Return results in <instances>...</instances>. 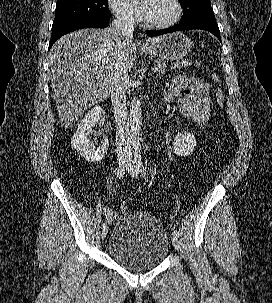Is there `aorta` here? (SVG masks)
Segmentation results:
<instances>
[{
	"label": "aorta",
	"instance_id": "obj_1",
	"mask_svg": "<svg viewBox=\"0 0 272 303\" xmlns=\"http://www.w3.org/2000/svg\"><path fill=\"white\" fill-rule=\"evenodd\" d=\"M130 134L133 145H139V136L142 125L141 102L134 97L130 103Z\"/></svg>",
	"mask_w": 272,
	"mask_h": 303
}]
</instances>
